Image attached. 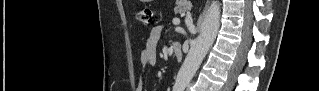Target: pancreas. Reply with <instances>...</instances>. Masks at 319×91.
<instances>
[{"instance_id":"1","label":"pancreas","mask_w":319,"mask_h":91,"mask_svg":"<svg viewBox=\"0 0 319 91\" xmlns=\"http://www.w3.org/2000/svg\"><path fill=\"white\" fill-rule=\"evenodd\" d=\"M188 10H189V5H183V4L177 3L176 9H175L176 12L183 13Z\"/></svg>"}]
</instances>
